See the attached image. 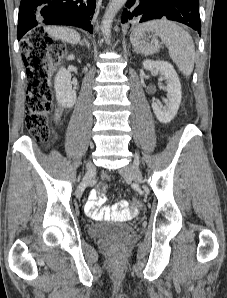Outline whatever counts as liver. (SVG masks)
Listing matches in <instances>:
<instances>
[{
    "mask_svg": "<svg viewBox=\"0 0 227 298\" xmlns=\"http://www.w3.org/2000/svg\"><path fill=\"white\" fill-rule=\"evenodd\" d=\"M46 31L52 37L61 39L62 41L69 42L71 44H77L81 39L80 34L77 31L69 28L47 27Z\"/></svg>",
    "mask_w": 227,
    "mask_h": 298,
    "instance_id": "6515ba94",
    "label": "liver"
}]
</instances>
